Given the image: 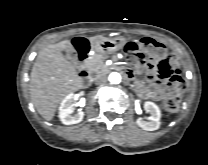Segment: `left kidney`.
<instances>
[{
	"mask_svg": "<svg viewBox=\"0 0 208 165\" xmlns=\"http://www.w3.org/2000/svg\"><path fill=\"white\" fill-rule=\"evenodd\" d=\"M144 108L150 112L149 121H145L142 118H138L136 123L139 127L146 131H154L160 127L161 112L159 107L150 101L144 103Z\"/></svg>",
	"mask_w": 208,
	"mask_h": 165,
	"instance_id": "left-kidney-1",
	"label": "left kidney"
}]
</instances>
